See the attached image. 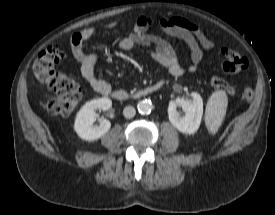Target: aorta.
I'll list each match as a JSON object with an SVG mask.
<instances>
[{"label":"aorta","mask_w":275,"mask_h":215,"mask_svg":"<svg viewBox=\"0 0 275 215\" xmlns=\"http://www.w3.org/2000/svg\"><path fill=\"white\" fill-rule=\"evenodd\" d=\"M152 103L148 100L140 101L137 105L139 113L146 115L149 114L152 110Z\"/></svg>","instance_id":"762f6f07"}]
</instances>
